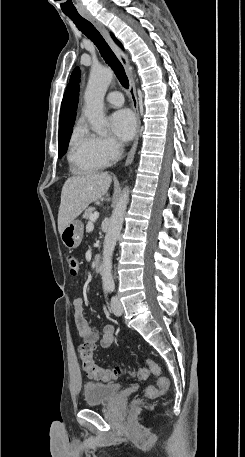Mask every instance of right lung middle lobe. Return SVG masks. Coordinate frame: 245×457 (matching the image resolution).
Listing matches in <instances>:
<instances>
[{"label": "right lung middle lobe", "instance_id": "obj_1", "mask_svg": "<svg viewBox=\"0 0 245 457\" xmlns=\"http://www.w3.org/2000/svg\"><path fill=\"white\" fill-rule=\"evenodd\" d=\"M73 124L74 123L59 128V134H58V144H59L58 157L59 158H61L67 150L69 138L72 133Z\"/></svg>", "mask_w": 245, "mask_h": 457}]
</instances>
